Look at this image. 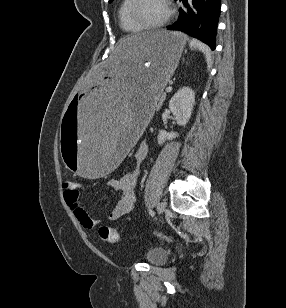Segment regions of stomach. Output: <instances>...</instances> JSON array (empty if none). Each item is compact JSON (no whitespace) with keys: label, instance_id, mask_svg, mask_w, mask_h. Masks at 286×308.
I'll use <instances>...</instances> for the list:
<instances>
[{"label":"stomach","instance_id":"0dacf381","mask_svg":"<svg viewBox=\"0 0 286 308\" xmlns=\"http://www.w3.org/2000/svg\"><path fill=\"white\" fill-rule=\"evenodd\" d=\"M186 37L156 31L124 36L117 48L91 69L82 91L62 112L63 162L75 177H112L137 144L142 125L173 75Z\"/></svg>","mask_w":286,"mask_h":308}]
</instances>
